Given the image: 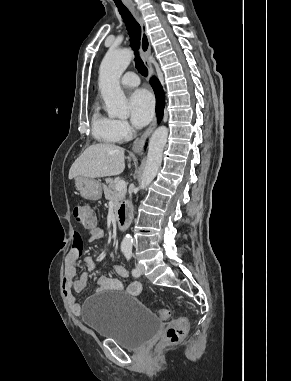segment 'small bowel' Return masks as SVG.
Wrapping results in <instances>:
<instances>
[{"instance_id": "obj_1", "label": "small bowel", "mask_w": 291, "mask_h": 381, "mask_svg": "<svg viewBox=\"0 0 291 381\" xmlns=\"http://www.w3.org/2000/svg\"><path fill=\"white\" fill-rule=\"evenodd\" d=\"M103 238V231L100 228H95L89 233V241L94 242ZM81 254L80 236L77 234L74 244L66 256L64 277L62 283L63 295L74 315H79L82 311L81 304L76 299V293H81L87 286V277L82 275L76 278V264ZM87 266H92L93 262L89 258L84 260ZM114 271L121 278L128 277V271L122 265H115ZM142 290L141 283L138 281L130 282L126 287L117 279L101 276L97 281V292L117 291L126 292L129 295H139Z\"/></svg>"}]
</instances>
